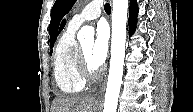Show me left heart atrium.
<instances>
[{
    "mask_svg": "<svg viewBox=\"0 0 193 112\" xmlns=\"http://www.w3.org/2000/svg\"><path fill=\"white\" fill-rule=\"evenodd\" d=\"M109 31L104 23H99L96 29V38L93 43L91 56L97 66H101L108 55Z\"/></svg>",
    "mask_w": 193,
    "mask_h": 112,
    "instance_id": "1",
    "label": "left heart atrium"
}]
</instances>
